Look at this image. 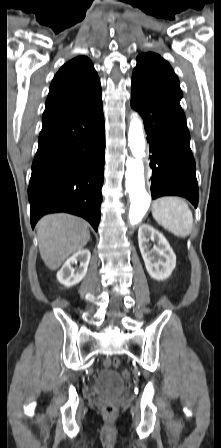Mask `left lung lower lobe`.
I'll use <instances>...</instances> for the list:
<instances>
[{"mask_svg": "<svg viewBox=\"0 0 221 448\" xmlns=\"http://www.w3.org/2000/svg\"><path fill=\"white\" fill-rule=\"evenodd\" d=\"M131 106L141 114L150 143L152 198L177 195L197 207L198 184L186 119L134 90Z\"/></svg>", "mask_w": 221, "mask_h": 448, "instance_id": "0a47b994", "label": "left lung lower lobe"}]
</instances>
